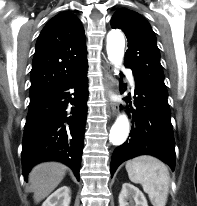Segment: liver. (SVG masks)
<instances>
[{
	"label": "liver",
	"instance_id": "obj_1",
	"mask_svg": "<svg viewBox=\"0 0 197 206\" xmlns=\"http://www.w3.org/2000/svg\"><path fill=\"white\" fill-rule=\"evenodd\" d=\"M65 174L66 166L58 162L36 165L28 176L35 203L45 199L59 185Z\"/></svg>",
	"mask_w": 197,
	"mask_h": 206
}]
</instances>
